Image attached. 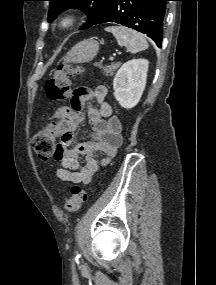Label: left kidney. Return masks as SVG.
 <instances>
[{"label":"left kidney","mask_w":216,"mask_h":285,"mask_svg":"<svg viewBox=\"0 0 216 285\" xmlns=\"http://www.w3.org/2000/svg\"><path fill=\"white\" fill-rule=\"evenodd\" d=\"M149 62L133 59L124 63L113 80L114 97L126 109L135 107L146 85Z\"/></svg>","instance_id":"5707ae66"}]
</instances>
